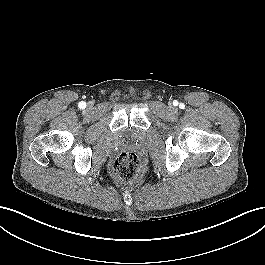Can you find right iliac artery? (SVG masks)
<instances>
[{
  "mask_svg": "<svg viewBox=\"0 0 265 265\" xmlns=\"http://www.w3.org/2000/svg\"><path fill=\"white\" fill-rule=\"evenodd\" d=\"M78 106L80 109H84L86 107V103L84 101H81Z\"/></svg>",
  "mask_w": 265,
  "mask_h": 265,
  "instance_id": "82829eb1",
  "label": "right iliac artery"
}]
</instances>
